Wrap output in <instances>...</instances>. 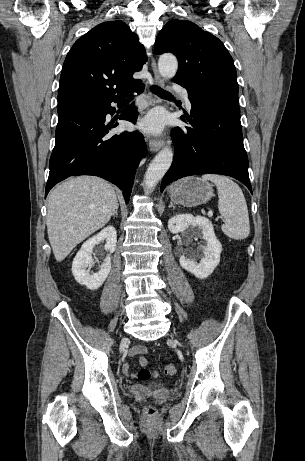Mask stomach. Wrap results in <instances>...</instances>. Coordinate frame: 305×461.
<instances>
[{
	"instance_id": "stomach-1",
	"label": "stomach",
	"mask_w": 305,
	"mask_h": 461,
	"mask_svg": "<svg viewBox=\"0 0 305 461\" xmlns=\"http://www.w3.org/2000/svg\"><path fill=\"white\" fill-rule=\"evenodd\" d=\"M214 196L213 185L197 177H188L171 189V200L185 207H195Z\"/></svg>"
}]
</instances>
